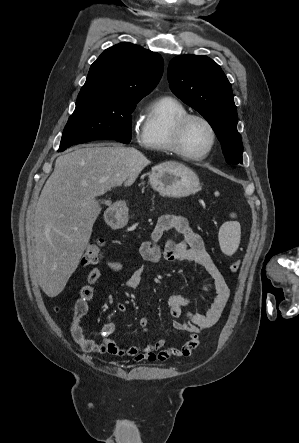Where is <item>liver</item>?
I'll return each instance as SVG.
<instances>
[{"mask_svg":"<svg viewBox=\"0 0 299 443\" xmlns=\"http://www.w3.org/2000/svg\"><path fill=\"white\" fill-rule=\"evenodd\" d=\"M149 164L121 145L76 148L56 159L34 216L35 274L46 295H59L76 270L101 212L96 197L135 181Z\"/></svg>","mask_w":299,"mask_h":443,"instance_id":"liver-1","label":"liver"}]
</instances>
